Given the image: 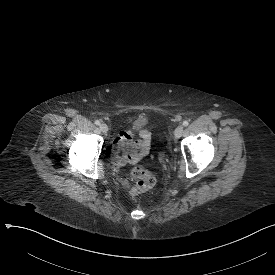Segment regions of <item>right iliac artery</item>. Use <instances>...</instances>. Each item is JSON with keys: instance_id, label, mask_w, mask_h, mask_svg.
<instances>
[{"instance_id": "1", "label": "right iliac artery", "mask_w": 275, "mask_h": 275, "mask_svg": "<svg viewBox=\"0 0 275 275\" xmlns=\"http://www.w3.org/2000/svg\"><path fill=\"white\" fill-rule=\"evenodd\" d=\"M95 124L98 126V125H100V121L99 120H96L95 121Z\"/></svg>"}]
</instances>
